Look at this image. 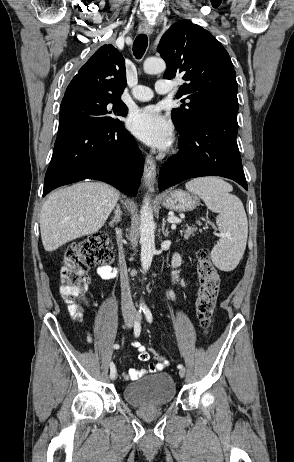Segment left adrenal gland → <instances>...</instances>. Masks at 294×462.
Wrapping results in <instances>:
<instances>
[{
  "mask_svg": "<svg viewBox=\"0 0 294 462\" xmlns=\"http://www.w3.org/2000/svg\"><path fill=\"white\" fill-rule=\"evenodd\" d=\"M165 224H166V220L163 219L162 221V233L165 237L169 236V232H168V229H165Z\"/></svg>",
  "mask_w": 294,
  "mask_h": 462,
  "instance_id": "obj_1",
  "label": "left adrenal gland"
}]
</instances>
